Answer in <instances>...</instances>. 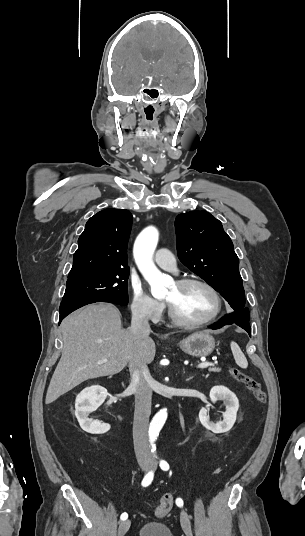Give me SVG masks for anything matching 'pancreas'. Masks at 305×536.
I'll use <instances>...</instances> for the list:
<instances>
[{
  "instance_id": "pancreas-1",
  "label": "pancreas",
  "mask_w": 305,
  "mask_h": 536,
  "mask_svg": "<svg viewBox=\"0 0 305 536\" xmlns=\"http://www.w3.org/2000/svg\"><path fill=\"white\" fill-rule=\"evenodd\" d=\"M208 372H221V368H215V366H213V368H208Z\"/></svg>"
}]
</instances>
